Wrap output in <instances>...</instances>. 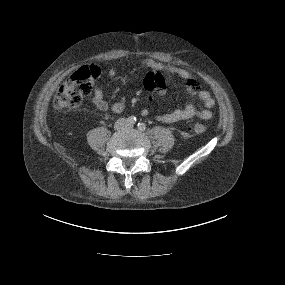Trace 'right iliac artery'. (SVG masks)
Segmentation results:
<instances>
[{
	"label": "right iliac artery",
	"mask_w": 285,
	"mask_h": 285,
	"mask_svg": "<svg viewBox=\"0 0 285 285\" xmlns=\"http://www.w3.org/2000/svg\"><path fill=\"white\" fill-rule=\"evenodd\" d=\"M127 121L129 124L133 125L136 122V117L130 116Z\"/></svg>",
	"instance_id": "obj_1"
}]
</instances>
